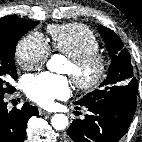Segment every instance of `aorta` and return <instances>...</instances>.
Wrapping results in <instances>:
<instances>
[{
    "mask_svg": "<svg viewBox=\"0 0 142 142\" xmlns=\"http://www.w3.org/2000/svg\"><path fill=\"white\" fill-rule=\"evenodd\" d=\"M64 58L60 55H53L47 62V68L51 72H59ZM51 124L56 130H64L68 126V117L64 114H55L51 119Z\"/></svg>",
    "mask_w": 142,
    "mask_h": 142,
    "instance_id": "aorta-1",
    "label": "aorta"
}]
</instances>
